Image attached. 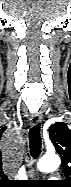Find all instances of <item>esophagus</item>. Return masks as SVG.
I'll return each instance as SVG.
<instances>
[{"mask_svg":"<svg viewBox=\"0 0 71 187\" xmlns=\"http://www.w3.org/2000/svg\"><path fill=\"white\" fill-rule=\"evenodd\" d=\"M30 124L32 125V126H34V125H36V124H38V123H40L41 122V120H42V115H41V113L40 112H37V113H34V114H32L31 116H30Z\"/></svg>","mask_w":71,"mask_h":187,"instance_id":"1","label":"esophagus"}]
</instances>
